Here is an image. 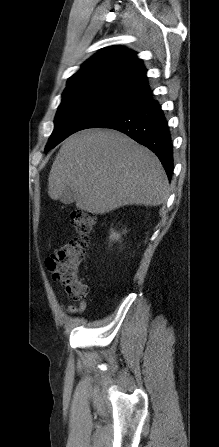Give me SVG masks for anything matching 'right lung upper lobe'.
<instances>
[{
  "mask_svg": "<svg viewBox=\"0 0 219 447\" xmlns=\"http://www.w3.org/2000/svg\"><path fill=\"white\" fill-rule=\"evenodd\" d=\"M112 87L145 102L152 98L146 69L136 53L123 47L105 48L69 78L67 88Z\"/></svg>",
  "mask_w": 219,
  "mask_h": 447,
  "instance_id": "cb5924a9",
  "label": "right lung upper lobe"
}]
</instances>
